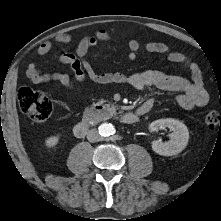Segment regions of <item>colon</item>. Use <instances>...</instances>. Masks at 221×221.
<instances>
[{"instance_id":"colon-1","label":"colon","mask_w":221,"mask_h":221,"mask_svg":"<svg viewBox=\"0 0 221 221\" xmlns=\"http://www.w3.org/2000/svg\"><path fill=\"white\" fill-rule=\"evenodd\" d=\"M20 110L34 122H43L52 113L53 105L50 99L42 92L23 87L18 93ZM205 122L209 127L221 125V115L217 111H210Z\"/></svg>"}]
</instances>
